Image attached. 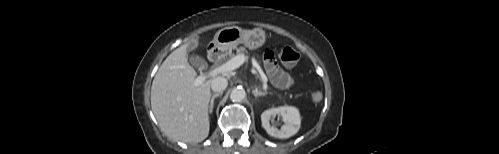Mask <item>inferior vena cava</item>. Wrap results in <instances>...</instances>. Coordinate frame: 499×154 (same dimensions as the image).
Returning a JSON list of instances; mask_svg holds the SVG:
<instances>
[{
	"mask_svg": "<svg viewBox=\"0 0 499 154\" xmlns=\"http://www.w3.org/2000/svg\"><path fill=\"white\" fill-rule=\"evenodd\" d=\"M227 85H228V81L224 77H216L211 81V89L214 92H219V93L221 92L222 93V91H224L226 89Z\"/></svg>",
	"mask_w": 499,
	"mask_h": 154,
	"instance_id": "1",
	"label": "inferior vena cava"
}]
</instances>
